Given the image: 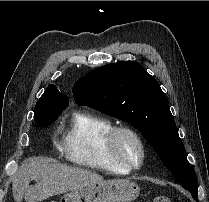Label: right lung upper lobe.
Segmentation results:
<instances>
[{
	"mask_svg": "<svg viewBox=\"0 0 209 202\" xmlns=\"http://www.w3.org/2000/svg\"><path fill=\"white\" fill-rule=\"evenodd\" d=\"M44 96L49 101V103L54 107L67 108L69 104L68 97L63 93H60L59 90L56 88V86L53 84H50L47 87L42 97ZM39 102H43L41 101V98L39 99L38 103Z\"/></svg>",
	"mask_w": 209,
	"mask_h": 202,
	"instance_id": "1",
	"label": "right lung upper lobe"
}]
</instances>
